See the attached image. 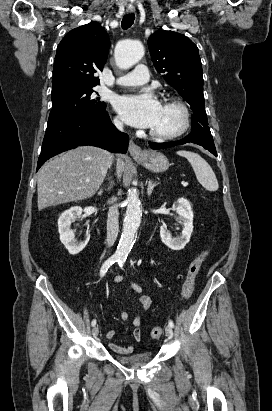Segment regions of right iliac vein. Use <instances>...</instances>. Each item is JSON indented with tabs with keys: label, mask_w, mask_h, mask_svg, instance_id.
<instances>
[{
	"label": "right iliac vein",
	"mask_w": 272,
	"mask_h": 411,
	"mask_svg": "<svg viewBox=\"0 0 272 411\" xmlns=\"http://www.w3.org/2000/svg\"><path fill=\"white\" fill-rule=\"evenodd\" d=\"M98 334H99V328H98V326H95V327L92 329V335H93V337H97Z\"/></svg>",
	"instance_id": "right-iliac-vein-1"
}]
</instances>
